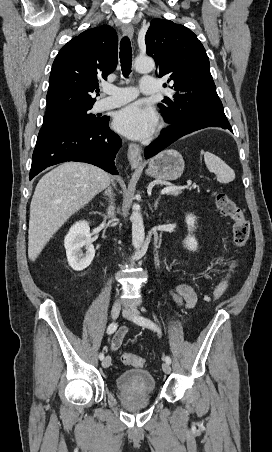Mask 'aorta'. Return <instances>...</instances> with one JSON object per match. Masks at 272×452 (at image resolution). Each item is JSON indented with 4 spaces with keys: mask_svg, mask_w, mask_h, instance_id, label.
<instances>
[{
    "mask_svg": "<svg viewBox=\"0 0 272 452\" xmlns=\"http://www.w3.org/2000/svg\"><path fill=\"white\" fill-rule=\"evenodd\" d=\"M135 69L140 73H149L154 67V60L150 57H138L135 60ZM132 222V245L139 250L144 242L145 232L142 214L140 210L134 206L131 214Z\"/></svg>",
    "mask_w": 272,
    "mask_h": 452,
    "instance_id": "obj_1",
    "label": "aorta"
}]
</instances>
